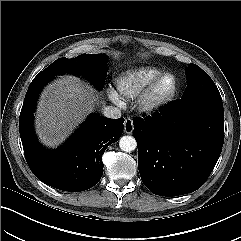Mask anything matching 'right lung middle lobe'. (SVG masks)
<instances>
[{
	"label": "right lung middle lobe",
	"instance_id": "dd1d6c3e",
	"mask_svg": "<svg viewBox=\"0 0 241 241\" xmlns=\"http://www.w3.org/2000/svg\"><path fill=\"white\" fill-rule=\"evenodd\" d=\"M64 73L83 75L101 90L107 76L106 57L102 54H82L72 59L63 57L41 71L33 81H47Z\"/></svg>",
	"mask_w": 241,
	"mask_h": 241
}]
</instances>
